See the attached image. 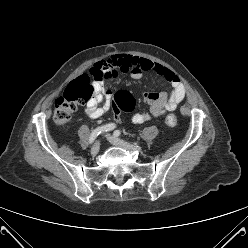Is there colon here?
Here are the masks:
<instances>
[{"mask_svg":"<svg viewBox=\"0 0 248 248\" xmlns=\"http://www.w3.org/2000/svg\"><path fill=\"white\" fill-rule=\"evenodd\" d=\"M95 78L98 73H92ZM96 95L94 87L91 85L88 74H81L73 79L64 91L63 96L55 102L53 119L55 123L62 125L69 122L77 109L78 104L91 101ZM133 108V99L129 94L119 93L114 98L113 104V120L121 121V111H131ZM165 122L167 126L174 127L177 123V118L174 114H169Z\"/></svg>","mask_w":248,"mask_h":248,"instance_id":"1","label":"colon"}]
</instances>
